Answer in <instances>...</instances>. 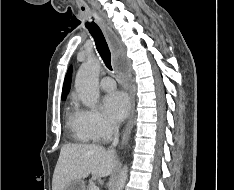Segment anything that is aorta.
<instances>
[{
    "mask_svg": "<svg viewBox=\"0 0 234 190\" xmlns=\"http://www.w3.org/2000/svg\"><path fill=\"white\" fill-rule=\"evenodd\" d=\"M100 68L101 64L97 58L88 57L76 75V91L82 103L89 108L96 107L99 100L98 79ZM127 177L128 167L125 165L119 174L115 190H123Z\"/></svg>",
    "mask_w": 234,
    "mask_h": 190,
    "instance_id": "1",
    "label": "aorta"
}]
</instances>
